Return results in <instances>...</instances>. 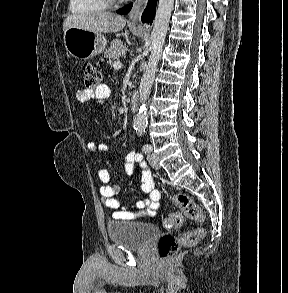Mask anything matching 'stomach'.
I'll return each mask as SVG.
<instances>
[{"instance_id":"stomach-1","label":"stomach","mask_w":288,"mask_h":293,"mask_svg":"<svg viewBox=\"0 0 288 293\" xmlns=\"http://www.w3.org/2000/svg\"><path fill=\"white\" fill-rule=\"evenodd\" d=\"M106 38L101 34L71 26L64 32V45L68 54L76 59H89L101 54L106 47Z\"/></svg>"}]
</instances>
